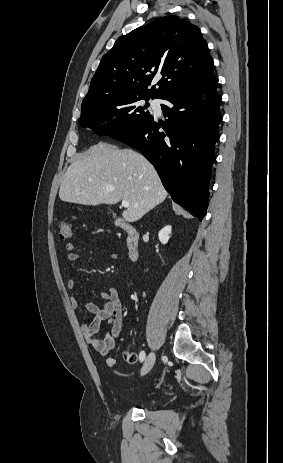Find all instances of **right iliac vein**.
Segmentation results:
<instances>
[{"mask_svg": "<svg viewBox=\"0 0 283 463\" xmlns=\"http://www.w3.org/2000/svg\"><path fill=\"white\" fill-rule=\"evenodd\" d=\"M155 360H156L155 353L154 352L149 353L141 369L142 376L146 375L152 369L155 363Z\"/></svg>", "mask_w": 283, "mask_h": 463, "instance_id": "obj_1", "label": "right iliac vein"}]
</instances>
